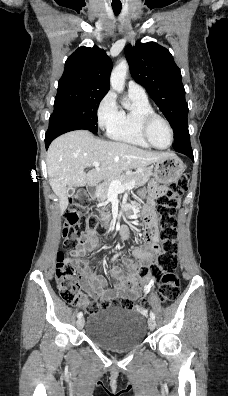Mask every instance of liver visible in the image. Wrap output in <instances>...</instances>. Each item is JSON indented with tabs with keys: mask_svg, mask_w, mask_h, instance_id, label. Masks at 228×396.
<instances>
[{
	"mask_svg": "<svg viewBox=\"0 0 228 396\" xmlns=\"http://www.w3.org/2000/svg\"><path fill=\"white\" fill-rule=\"evenodd\" d=\"M136 146L96 138L86 130H76L55 139L47 152L46 163L53 192L63 213L68 206L71 187L96 186L102 180L115 179L124 171L143 168L170 156ZM98 161L100 166L84 170Z\"/></svg>",
	"mask_w": 228,
	"mask_h": 396,
	"instance_id": "obj_1",
	"label": "liver"
}]
</instances>
